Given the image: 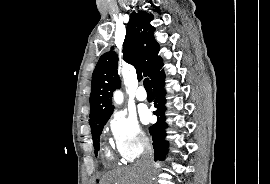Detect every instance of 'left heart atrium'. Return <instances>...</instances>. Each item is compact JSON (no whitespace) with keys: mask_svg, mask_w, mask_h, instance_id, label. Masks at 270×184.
I'll use <instances>...</instances> for the list:
<instances>
[{"mask_svg":"<svg viewBox=\"0 0 270 184\" xmlns=\"http://www.w3.org/2000/svg\"><path fill=\"white\" fill-rule=\"evenodd\" d=\"M142 120H143L145 123H147V122L150 120V114H149L147 111H145V112L143 113V115H142Z\"/></svg>","mask_w":270,"mask_h":184,"instance_id":"left-heart-atrium-1","label":"left heart atrium"}]
</instances>
